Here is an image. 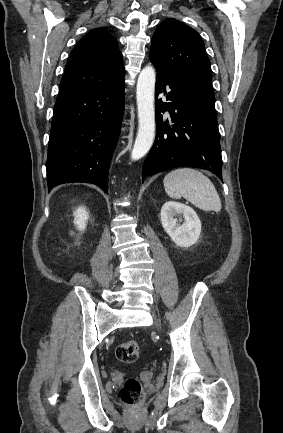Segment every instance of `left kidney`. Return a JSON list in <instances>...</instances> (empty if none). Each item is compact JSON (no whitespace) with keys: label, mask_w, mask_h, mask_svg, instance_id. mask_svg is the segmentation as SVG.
<instances>
[{"label":"left kidney","mask_w":283,"mask_h":433,"mask_svg":"<svg viewBox=\"0 0 283 433\" xmlns=\"http://www.w3.org/2000/svg\"><path fill=\"white\" fill-rule=\"evenodd\" d=\"M182 215L184 222L175 218ZM161 223L172 241L180 247L194 245L201 233V221L196 212L185 204L168 201L161 208Z\"/></svg>","instance_id":"1"}]
</instances>
